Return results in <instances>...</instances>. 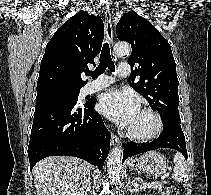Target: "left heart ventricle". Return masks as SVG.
I'll use <instances>...</instances> for the list:
<instances>
[{
  "label": "left heart ventricle",
  "instance_id": "left-heart-ventricle-1",
  "mask_svg": "<svg viewBox=\"0 0 211 195\" xmlns=\"http://www.w3.org/2000/svg\"><path fill=\"white\" fill-rule=\"evenodd\" d=\"M155 127V120L154 118L146 113L139 111L136 115L134 121L130 125V128L140 134H146L151 132Z\"/></svg>",
  "mask_w": 211,
  "mask_h": 195
}]
</instances>
